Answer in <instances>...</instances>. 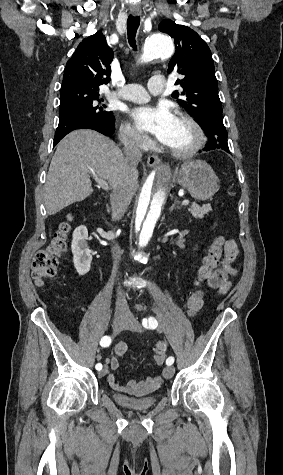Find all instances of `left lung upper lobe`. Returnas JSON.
<instances>
[{
	"instance_id": "left-lung-upper-lobe-1",
	"label": "left lung upper lobe",
	"mask_w": 283,
	"mask_h": 475,
	"mask_svg": "<svg viewBox=\"0 0 283 475\" xmlns=\"http://www.w3.org/2000/svg\"><path fill=\"white\" fill-rule=\"evenodd\" d=\"M159 30L169 34L175 41L176 51L169 62L168 71L174 70L183 75V79L175 82L183 88L182 91H174L172 96L200 126L205 119L222 116L214 62L206 42L191 28L169 19L159 24Z\"/></svg>"
}]
</instances>
